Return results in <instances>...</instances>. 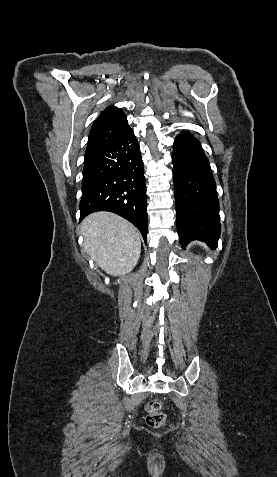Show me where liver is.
Returning <instances> with one entry per match:
<instances>
[{
    "mask_svg": "<svg viewBox=\"0 0 277 477\" xmlns=\"http://www.w3.org/2000/svg\"><path fill=\"white\" fill-rule=\"evenodd\" d=\"M84 249L107 274L120 276L136 266L141 241L137 229L110 212H96L81 223Z\"/></svg>",
    "mask_w": 277,
    "mask_h": 477,
    "instance_id": "1",
    "label": "liver"
}]
</instances>
